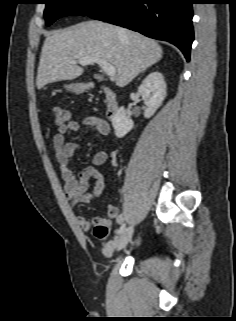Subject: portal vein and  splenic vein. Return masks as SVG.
Returning a JSON list of instances; mask_svg holds the SVG:
<instances>
[{
  "instance_id": "18ae733b",
  "label": "portal vein and splenic vein",
  "mask_w": 236,
  "mask_h": 321,
  "mask_svg": "<svg viewBox=\"0 0 236 321\" xmlns=\"http://www.w3.org/2000/svg\"><path fill=\"white\" fill-rule=\"evenodd\" d=\"M72 64H80V65H90L92 63H97L102 70L109 76V77H115L116 75V68L108 63L106 60L100 59V58H82L78 61H70Z\"/></svg>"
}]
</instances>
